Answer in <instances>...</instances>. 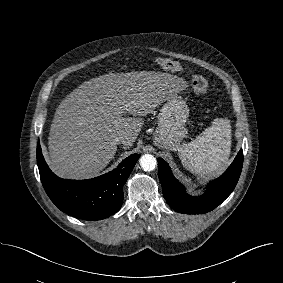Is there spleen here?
<instances>
[{
  "mask_svg": "<svg viewBox=\"0 0 283 283\" xmlns=\"http://www.w3.org/2000/svg\"><path fill=\"white\" fill-rule=\"evenodd\" d=\"M231 125L226 118H216L196 139L179 147L182 165L196 175L220 173L230 156Z\"/></svg>",
  "mask_w": 283,
  "mask_h": 283,
  "instance_id": "3e777b00",
  "label": "spleen"
}]
</instances>
